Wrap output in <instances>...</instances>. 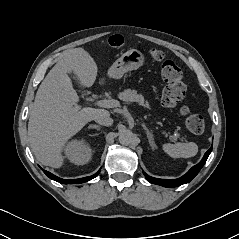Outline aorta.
I'll use <instances>...</instances> for the list:
<instances>
[{
	"label": "aorta",
	"instance_id": "obj_1",
	"mask_svg": "<svg viewBox=\"0 0 239 239\" xmlns=\"http://www.w3.org/2000/svg\"><path fill=\"white\" fill-rule=\"evenodd\" d=\"M119 142L122 145H131L134 142V134L130 130H124L119 133Z\"/></svg>",
	"mask_w": 239,
	"mask_h": 239
}]
</instances>
